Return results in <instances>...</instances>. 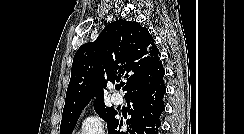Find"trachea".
I'll list each match as a JSON object with an SVG mask.
<instances>
[{"label": "trachea", "instance_id": "trachea-1", "mask_svg": "<svg viewBox=\"0 0 244 134\" xmlns=\"http://www.w3.org/2000/svg\"><path fill=\"white\" fill-rule=\"evenodd\" d=\"M121 88V85H117L116 89L119 90Z\"/></svg>", "mask_w": 244, "mask_h": 134}]
</instances>
